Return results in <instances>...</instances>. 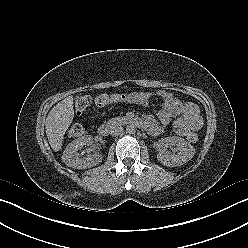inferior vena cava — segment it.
<instances>
[{
  "label": "inferior vena cava",
  "mask_w": 248,
  "mask_h": 248,
  "mask_svg": "<svg viewBox=\"0 0 248 248\" xmlns=\"http://www.w3.org/2000/svg\"><path fill=\"white\" fill-rule=\"evenodd\" d=\"M122 131H123V128L121 126H118V127L113 128L111 130L110 134L112 136H118V135H120L122 133Z\"/></svg>",
  "instance_id": "1"
}]
</instances>
